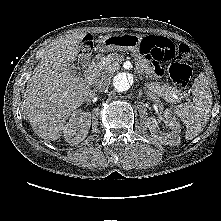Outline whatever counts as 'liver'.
Here are the masks:
<instances>
[{"label":"liver","mask_w":221,"mask_h":221,"mask_svg":"<svg viewBox=\"0 0 221 221\" xmlns=\"http://www.w3.org/2000/svg\"><path fill=\"white\" fill-rule=\"evenodd\" d=\"M85 35L73 32L54 39L28 77L21 111L43 139H59L68 117L91 94L92 81L74 70L78 45Z\"/></svg>","instance_id":"6515ba94"}]
</instances>
